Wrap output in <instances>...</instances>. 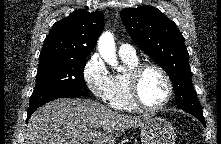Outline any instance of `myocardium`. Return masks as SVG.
<instances>
[{
  "mask_svg": "<svg viewBox=\"0 0 221 144\" xmlns=\"http://www.w3.org/2000/svg\"><path fill=\"white\" fill-rule=\"evenodd\" d=\"M148 69H155L163 76L167 85V94L164 101L156 106H149L143 102L139 92V82L143 73ZM129 96L132 103L138 109L146 111H159L166 107L173 96V83L166 70L156 63L145 62L139 63L128 71L127 74Z\"/></svg>",
  "mask_w": 221,
  "mask_h": 144,
  "instance_id": "obj_1",
  "label": "myocardium"
}]
</instances>
